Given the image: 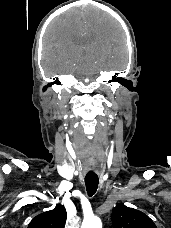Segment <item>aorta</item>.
Here are the masks:
<instances>
[{
    "mask_svg": "<svg viewBox=\"0 0 171 228\" xmlns=\"http://www.w3.org/2000/svg\"><path fill=\"white\" fill-rule=\"evenodd\" d=\"M81 228H102V223L98 217L92 216L84 219Z\"/></svg>",
    "mask_w": 171,
    "mask_h": 228,
    "instance_id": "obj_1",
    "label": "aorta"
}]
</instances>
